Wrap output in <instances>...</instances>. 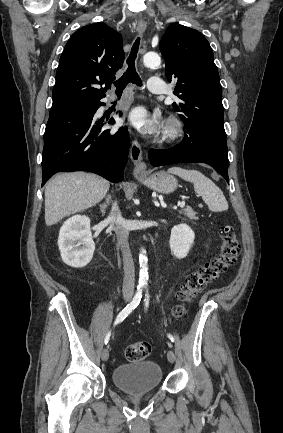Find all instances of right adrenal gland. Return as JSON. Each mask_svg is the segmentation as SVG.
Returning a JSON list of instances; mask_svg holds the SVG:
<instances>
[{
	"label": "right adrenal gland",
	"instance_id": "obj_1",
	"mask_svg": "<svg viewBox=\"0 0 283 433\" xmlns=\"http://www.w3.org/2000/svg\"><path fill=\"white\" fill-rule=\"evenodd\" d=\"M110 200H112V198H111V194H107V198H106V202H107V204H106V202H103V204H99V206H100V210H101V212H102V217H105V214H106V208H107V206H108Z\"/></svg>",
	"mask_w": 283,
	"mask_h": 433
}]
</instances>
